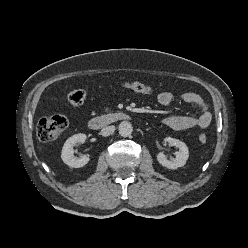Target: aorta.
<instances>
[{
  "label": "aorta",
  "mask_w": 248,
  "mask_h": 248,
  "mask_svg": "<svg viewBox=\"0 0 248 248\" xmlns=\"http://www.w3.org/2000/svg\"><path fill=\"white\" fill-rule=\"evenodd\" d=\"M119 134L123 137H128L132 134L133 127L129 121H122L118 127Z\"/></svg>",
  "instance_id": "762f6f07"
}]
</instances>
